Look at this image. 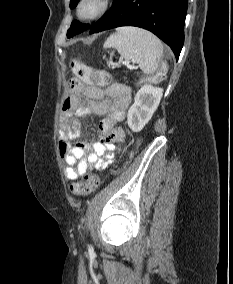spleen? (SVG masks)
I'll return each instance as SVG.
<instances>
[{
    "label": "spleen",
    "instance_id": "3e777b00",
    "mask_svg": "<svg viewBox=\"0 0 233 284\" xmlns=\"http://www.w3.org/2000/svg\"><path fill=\"white\" fill-rule=\"evenodd\" d=\"M110 47L117 49L126 61L136 62L147 75L160 71L163 45L149 31L130 26L120 27L104 43V48Z\"/></svg>",
    "mask_w": 233,
    "mask_h": 284
}]
</instances>
